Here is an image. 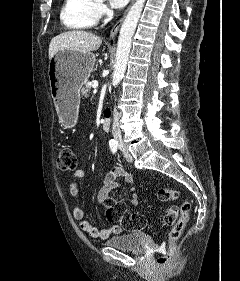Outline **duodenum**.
<instances>
[{"instance_id":"1","label":"duodenum","mask_w":240,"mask_h":281,"mask_svg":"<svg viewBox=\"0 0 240 281\" xmlns=\"http://www.w3.org/2000/svg\"><path fill=\"white\" fill-rule=\"evenodd\" d=\"M101 125L105 131H109L111 127V114L110 110H105L102 114Z\"/></svg>"}]
</instances>
